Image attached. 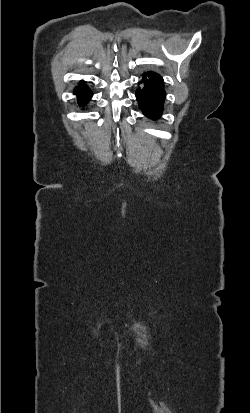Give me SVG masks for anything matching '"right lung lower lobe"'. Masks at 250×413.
Listing matches in <instances>:
<instances>
[{"mask_svg":"<svg viewBox=\"0 0 250 413\" xmlns=\"http://www.w3.org/2000/svg\"><path fill=\"white\" fill-rule=\"evenodd\" d=\"M74 94L77 96V100L80 105L86 104L92 97L90 89L84 83H81L74 90Z\"/></svg>","mask_w":250,"mask_h":413,"instance_id":"right-lung-lower-lobe-1","label":"right lung lower lobe"}]
</instances>
